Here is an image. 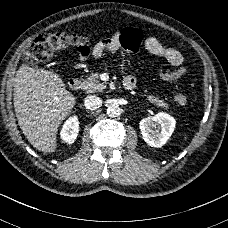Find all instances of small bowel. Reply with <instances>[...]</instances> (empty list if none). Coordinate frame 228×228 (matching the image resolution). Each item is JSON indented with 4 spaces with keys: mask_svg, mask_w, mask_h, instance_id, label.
<instances>
[{
    "mask_svg": "<svg viewBox=\"0 0 228 228\" xmlns=\"http://www.w3.org/2000/svg\"><path fill=\"white\" fill-rule=\"evenodd\" d=\"M143 48L154 56L164 58L169 64L175 67L180 66L184 61V57L179 50L163 45L153 36L145 39L141 31L135 27H126L112 37L101 39L94 45L90 52L80 54L79 58L84 61L92 55L94 58L99 59L105 52H116L118 49L125 55L131 56ZM180 70L185 71L184 68L161 71L159 72V77L164 81L172 82L183 76L179 72ZM126 78H132L135 81L134 77L129 75Z\"/></svg>",
    "mask_w": 228,
    "mask_h": 228,
    "instance_id": "small-bowel-1",
    "label": "small bowel"
}]
</instances>
